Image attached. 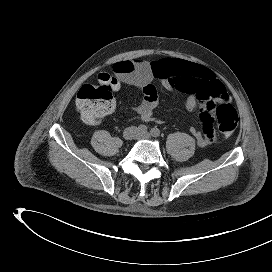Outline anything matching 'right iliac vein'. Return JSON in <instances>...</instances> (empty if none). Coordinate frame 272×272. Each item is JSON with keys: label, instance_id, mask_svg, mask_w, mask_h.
I'll use <instances>...</instances> for the list:
<instances>
[{"label": "right iliac vein", "instance_id": "right-iliac-vein-1", "mask_svg": "<svg viewBox=\"0 0 272 272\" xmlns=\"http://www.w3.org/2000/svg\"><path fill=\"white\" fill-rule=\"evenodd\" d=\"M137 133V129L134 127L128 128L127 130H125L124 132V138L126 140H131L136 136Z\"/></svg>", "mask_w": 272, "mask_h": 272}]
</instances>
